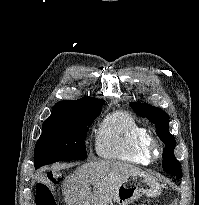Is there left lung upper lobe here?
<instances>
[{
  "mask_svg": "<svg viewBox=\"0 0 199 205\" xmlns=\"http://www.w3.org/2000/svg\"><path fill=\"white\" fill-rule=\"evenodd\" d=\"M133 110L141 117L147 118L155 124L156 133L165 144L163 149V170L180 179L181 164L174 156L175 137L169 132V116L165 111L146 103H130Z\"/></svg>",
  "mask_w": 199,
  "mask_h": 205,
  "instance_id": "obj_1",
  "label": "left lung upper lobe"
}]
</instances>
